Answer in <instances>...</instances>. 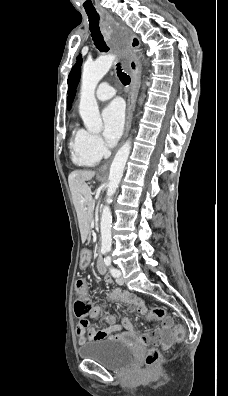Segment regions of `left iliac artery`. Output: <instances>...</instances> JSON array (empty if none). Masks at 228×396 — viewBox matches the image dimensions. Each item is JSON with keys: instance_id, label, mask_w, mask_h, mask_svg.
<instances>
[{"instance_id": "44dca946", "label": "left iliac artery", "mask_w": 228, "mask_h": 396, "mask_svg": "<svg viewBox=\"0 0 228 396\" xmlns=\"http://www.w3.org/2000/svg\"><path fill=\"white\" fill-rule=\"evenodd\" d=\"M104 262H105L106 266L109 267L110 273L113 277L120 276V271L111 265V257L110 256H106V258L104 259Z\"/></svg>"}]
</instances>
